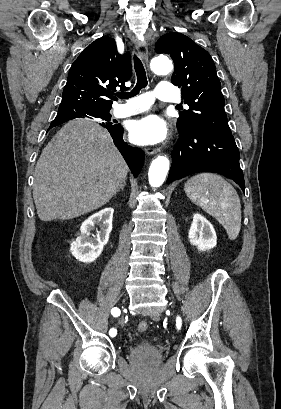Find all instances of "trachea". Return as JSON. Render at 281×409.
I'll list each match as a JSON object with an SVG mask.
<instances>
[{"label": "trachea", "instance_id": "3493384b", "mask_svg": "<svg viewBox=\"0 0 281 409\" xmlns=\"http://www.w3.org/2000/svg\"><path fill=\"white\" fill-rule=\"evenodd\" d=\"M134 69H135L136 76H137V83L134 89L130 93L120 92L117 94V97L124 98V99L134 97L140 92L142 88H145L147 86L148 81L146 77L145 68L141 60L136 56V54L134 55Z\"/></svg>", "mask_w": 281, "mask_h": 409}]
</instances>
